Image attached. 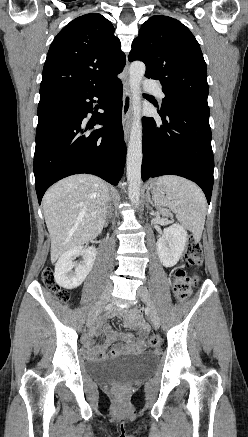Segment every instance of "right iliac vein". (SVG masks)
<instances>
[{
    "instance_id": "right-iliac-vein-1",
    "label": "right iliac vein",
    "mask_w": 248,
    "mask_h": 437,
    "mask_svg": "<svg viewBox=\"0 0 248 437\" xmlns=\"http://www.w3.org/2000/svg\"><path fill=\"white\" fill-rule=\"evenodd\" d=\"M113 286L111 283L107 284L105 289L103 290L96 306L90 311L88 319H87V326L91 327L100 312V310L107 304V302L110 299V295L112 292Z\"/></svg>"
}]
</instances>
